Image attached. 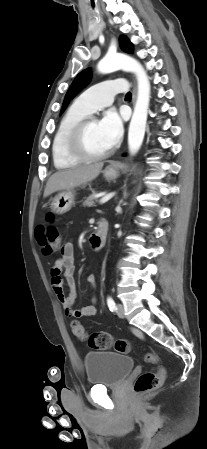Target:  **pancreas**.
<instances>
[{
    "label": "pancreas",
    "instance_id": "obj_1",
    "mask_svg": "<svg viewBox=\"0 0 207 449\" xmlns=\"http://www.w3.org/2000/svg\"><path fill=\"white\" fill-rule=\"evenodd\" d=\"M97 199L95 198V193L93 195L89 196L83 203L84 207H92L95 206V202Z\"/></svg>",
    "mask_w": 207,
    "mask_h": 449
}]
</instances>
